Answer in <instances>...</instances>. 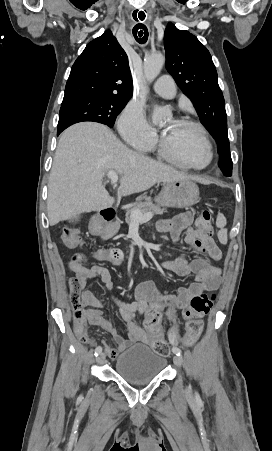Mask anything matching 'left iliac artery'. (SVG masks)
Instances as JSON below:
<instances>
[{
  "instance_id": "obj_1",
  "label": "left iliac artery",
  "mask_w": 272,
  "mask_h": 451,
  "mask_svg": "<svg viewBox=\"0 0 272 451\" xmlns=\"http://www.w3.org/2000/svg\"><path fill=\"white\" fill-rule=\"evenodd\" d=\"M172 351H173L177 356H181V354H182L181 350H180L179 348H176V347L173 348ZM195 397H196L197 400H200V396H199V394H198L197 392L195 393Z\"/></svg>"
}]
</instances>
